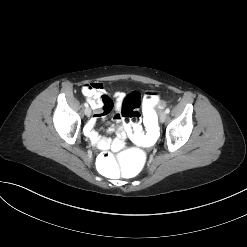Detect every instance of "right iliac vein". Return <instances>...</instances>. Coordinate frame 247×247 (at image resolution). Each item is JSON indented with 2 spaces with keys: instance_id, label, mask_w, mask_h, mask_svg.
<instances>
[{
  "instance_id": "63e3f726",
  "label": "right iliac vein",
  "mask_w": 247,
  "mask_h": 247,
  "mask_svg": "<svg viewBox=\"0 0 247 247\" xmlns=\"http://www.w3.org/2000/svg\"><path fill=\"white\" fill-rule=\"evenodd\" d=\"M84 112H85V115L88 117L91 115V109L89 107H87Z\"/></svg>"
}]
</instances>
